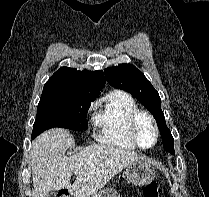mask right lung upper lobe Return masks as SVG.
<instances>
[{"label":"right lung upper lobe","mask_w":209,"mask_h":197,"mask_svg":"<svg viewBox=\"0 0 209 197\" xmlns=\"http://www.w3.org/2000/svg\"><path fill=\"white\" fill-rule=\"evenodd\" d=\"M45 85H66L83 88L96 97L105 85L103 71H77L74 68L62 67Z\"/></svg>","instance_id":"cb5924a9"}]
</instances>
